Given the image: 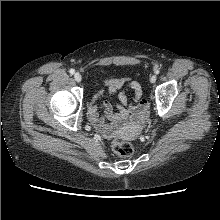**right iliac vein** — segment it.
Returning a JSON list of instances; mask_svg holds the SVG:
<instances>
[{
	"label": "right iliac vein",
	"instance_id": "63e3f726",
	"mask_svg": "<svg viewBox=\"0 0 220 220\" xmlns=\"http://www.w3.org/2000/svg\"><path fill=\"white\" fill-rule=\"evenodd\" d=\"M74 79H75V81H77V82H81V80H82L81 74H80L79 72H76V73L74 74Z\"/></svg>",
	"mask_w": 220,
	"mask_h": 220
}]
</instances>
